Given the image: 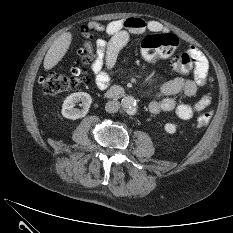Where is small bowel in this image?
Wrapping results in <instances>:
<instances>
[{
	"instance_id": "small-bowel-1",
	"label": "small bowel",
	"mask_w": 233,
	"mask_h": 233,
	"mask_svg": "<svg viewBox=\"0 0 233 233\" xmlns=\"http://www.w3.org/2000/svg\"><path fill=\"white\" fill-rule=\"evenodd\" d=\"M162 28V24L158 21L146 22L141 18L133 17L114 20L106 25L91 23L88 26L89 30L104 32L109 36V40L98 39L96 42V51L91 65L96 86L102 91L108 88L119 52L127 45L132 35L146 31L157 32ZM187 52L193 60L192 77H177L164 83L149 103L148 108L151 113L174 112L178 118L188 120L210 106L213 97L211 93L203 95L193 105L178 103L174 99V96L179 93L187 97L194 96L208 82L209 62L206 56L194 46H191Z\"/></svg>"
}]
</instances>
